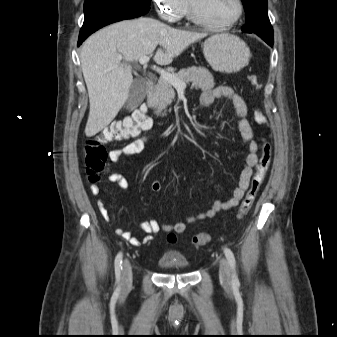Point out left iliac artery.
Wrapping results in <instances>:
<instances>
[{"label":"left iliac artery","instance_id":"left-iliac-artery-1","mask_svg":"<svg viewBox=\"0 0 337 337\" xmlns=\"http://www.w3.org/2000/svg\"><path fill=\"white\" fill-rule=\"evenodd\" d=\"M225 256L230 264L232 270V283L239 284V279L236 273V260L233 252L229 248H224Z\"/></svg>","mask_w":337,"mask_h":337}]
</instances>
